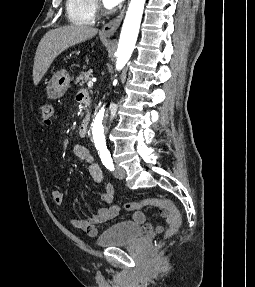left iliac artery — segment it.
Masks as SVG:
<instances>
[{"mask_svg":"<svg viewBox=\"0 0 255 287\" xmlns=\"http://www.w3.org/2000/svg\"><path fill=\"white\" fill-rule=\"evenodd\" d=\"M97 150L103 165L110 171L114 170V164L109 150L106 147H100Z\"/></svg>","mask_w":255,"mask_h":287,"instance_id":"1","label":"left iliac artery"}]
</instances>
